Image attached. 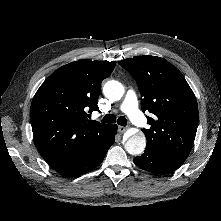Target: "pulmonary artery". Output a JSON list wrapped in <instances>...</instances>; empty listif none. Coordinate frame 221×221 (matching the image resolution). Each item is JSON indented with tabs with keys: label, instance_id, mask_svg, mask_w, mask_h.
I'll list each match as a JSON object with an SVG mask.
<instances>
[{
	"label": "pulmonary artery",
	"instance_id": "obj_1",
	"mask_svg": "<svg viewBox=\"0 0 221 221\" xmlns=\"http://www.w3.org/2000/svg\"><path fill=\"white\" fill-rule=\"evenodd\" d=\"M120 110L127 114L136 125L142 126L146 123L145 117L138 108V99L133 90L127 91Z\"/></svg>",
	"mask_w": 221,
	"mask_h": 221
}]
</instances>
